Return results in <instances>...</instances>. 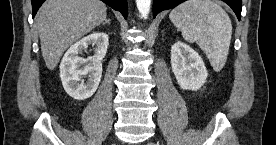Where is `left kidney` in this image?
I'll use <instances>...</instances> for the list:
<instances>
[{"label":"left kidney","mask_w":276,"mask_h":145,"mask_svg":"<svg viewBox=\"0 0 276 145\" xmlns=\"http://www.w3.org/2000/svg\"><path fill=\"white\" fill-rule=\"evenodd\" d=\"M171 67L178 85L185 90H198L208 76L200 55L182 41L171 47Z\"/></svg>","instance_id":"1"}]
</instances>
